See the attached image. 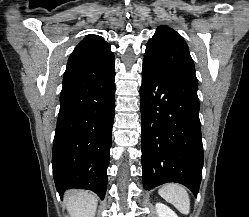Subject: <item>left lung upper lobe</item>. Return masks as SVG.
<instances>
[{
	"mask_svg": "<svg viewBox=\"0 0 249 217\" xmlns=\"http://www.w3.org/2000/svg\"><path fill=\"white\" fill-rule=\"evenodd\" d=\"M143 66L161 75L198 85L194 62L185 40L167 26H159L148 41Z\"/></svg>",
	"mask_w": 249,
	"mask_h": 217,
	"instance_id": "left-lung-upper-lobe-1",
	"label": "left lung upper lobe"
}]
</instances>
